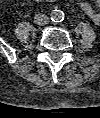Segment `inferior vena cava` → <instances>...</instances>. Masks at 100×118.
Masks as SVG:
<instances>
[{"label":"inferior vena cava","instance_id":"obj_1","mask_svg":"<svg viewBox=\"0 0 100 118\" xmlns=\"http://www.w3.org/2000/svg\"><path fill=\"white\" fill-rule=\"evenodd\" d=\"M34 22L37 25L43 26L49 23V18L45 14L38 13L34 16Z\"/></svg>","mask_w":100,"mask_h":118}]
</instances>
